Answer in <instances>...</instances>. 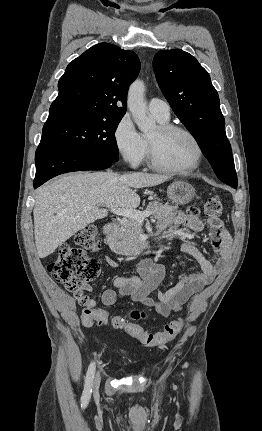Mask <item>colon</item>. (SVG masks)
<instances>
[{
  "mask_svg": "<svg viewBox=\"0 0 262 431\" xmlns=\"http://www.w3.org/2000/svg\"><path fill=\"white\" fill-rule=\"evenodd\" d=\"M197 211L198 207L195 205L189 208L191 214H196ZM203 211L207 218L220 217L223 212L221 198L218 195L210 196L204 204ZM96 235L97 228L95 226L85 228L74 236V245L70 243L63 245L58 256L48 265V271L52 277L70 292L85 287L99 274V263L84 253V250H97L99 248ZM141 316L143 314L134 312L130 318L114 317L109 320L85 314L82 316V323L89 327L95 322L100 324L110 322L113 328L124 329L147 347L160 346L173 340L184 327L183 319L179 318L167 324L163 331L150 333L132 320Z\"/></svg>",
  "mask_w": 262,
  "mask_h": 431,
  "instance_id": "1",
  "label": "colon"
}]
</instances>
